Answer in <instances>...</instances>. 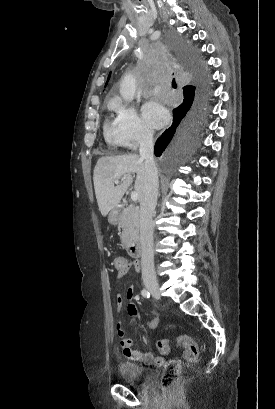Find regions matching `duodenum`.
<instances>
[{"label": "duodenum", "mask_w": 275, "mask_h": 409, "mask_svg": "<svg viewBox=\"0 0 275 409\" xmlns=\"http://www.w3.org/2000/svg\"><path fill=\"white\" fill-rule=\"evenodd\" d=\"M128 252L133 258H140L142 255V245L138 239L131 241L128 245Z\"/></svg>", "instance_id": "1"}]
</instances>
